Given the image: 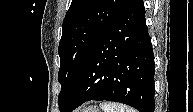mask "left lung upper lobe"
<instances>
[{"label": "left lung upper lobe", "mask_w": 193, "mask_h": 112, "mask_svg": "<svg viewBox=\"0 0 193 112\" xmlns=\"http://www.w3.org/2000/svg\"><path fill=\"white\" fill-rule=\"evenodd\" d=\"M132 0H72L62 25L59 43L61 91L66 100L92 48Z\"/></svg>", "instance_id": "1"}]
</instances>
